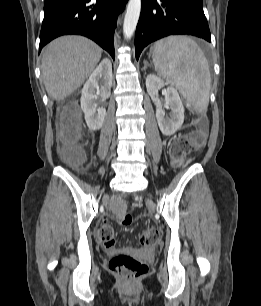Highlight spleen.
Returning <instances> with one entry per match:
<instances>
[{"label": "spleen", "instance_id": "1", "mask_svg": "<svg viewBox=\"0 0 261 306\" xmlns=\"http://www.w3.org/2000/svg\"><path fill=\"white\" fill-rule=\"evenodd\" d=\"M157 73L180 92L197 111L208 108L211 75L208 61L197 43L186 36L161 39L151 48Z\"/></svg>", "mask_w": 261, "mask_h": 306}]
</instances>
